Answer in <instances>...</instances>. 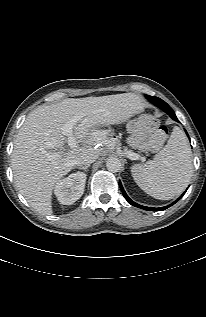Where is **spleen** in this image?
Wrapping results in <instances>:
<instances>
[{"instance_id":"spleen-1","label":"spleen","mask_w":206,"mask_h":317,"mask_svg":"<svg viewBox=\"0 0 206 317\" xmlns=\"http://www.w3.org/2000/svg\"><path fill=\"white\" fill-rule=\"evenodd\" d=\"M192 158L187 138L175 126L167 144L145 164H135L131 173L137 185L150 196L169 200L181 194L192 175Z\"/></svg>"}]
</instances>
